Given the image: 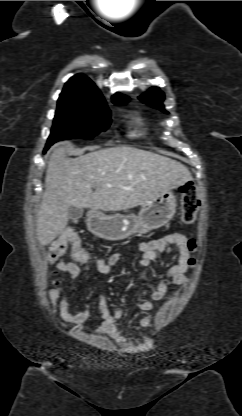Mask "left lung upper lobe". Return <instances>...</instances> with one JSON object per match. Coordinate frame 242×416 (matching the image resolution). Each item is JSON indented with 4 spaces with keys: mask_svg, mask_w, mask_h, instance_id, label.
<instances>
[{
    "mask_svg": "<svg viewBox=\"0 0 242 416\" xmlns=\"http://www.w3.org/2000/svg\"><path fill=\"white\" fill-rule=\"evenodd\" d=\"M139 99L141 101L146 100V103L150 104L152 107L168 113L164 110V105L162 104V101L164 100V94L159 90V88L152 87L146 97H139Z\"/></svg>",
    "mask_w": 242,
    "mask_h": 416,
    "instance_id": "1",
    "label": "left lung upper lobe"
}]
</instances>
